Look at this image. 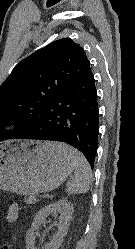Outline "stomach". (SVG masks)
<instances>
[{
    "label": "stomach",
    "instance_id": "stomach-1",
    "mask_svg": "<svg viewBox=\"0 0 135 249\" xmlns=\"http://www.w3.org/2000/svg\"><path fill=\"white\" fill-rule=\"evenodd\" d=\"M53 143L26 140L1 144L0 189L34 195L60 186L74 168Z\"/></svg>",
    "mask_w": 135,
    "mask_h": 249
}]
</instances>
